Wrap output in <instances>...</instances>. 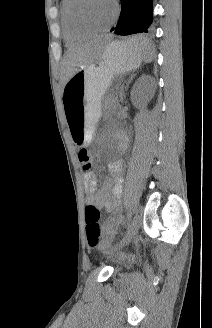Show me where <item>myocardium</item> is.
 I'll return each instance as SVG.
<instances>
[{
	"label": "myocardium",
	"mask_w": 212,
	"mask_h": 328,
	"mask_svg": "<svg viewBox=\"0 0 212 328\" xmlns=\"http://www.w3.org/2000/svg\"><path fill=\"white\" fill-rule=\"evenodd\" d=\"M83 1L84 0H70V4L68 6V11H67L68 19H69V22H70L72 28L75 31L92 33V34L100 33V32H104V31H107L108 29H110L113 26V24L116 22V20L118 18L119 10H118V5L115 1H112L113 8H114L113 17L107 25L102 26V27H93V26H90V25H87V24L81 22L77 18L76 14H75V10H76V7L78 6V4L82 3Z\"/></svg>",
	"instance_id": "f54148a6"
}]
</instances>
